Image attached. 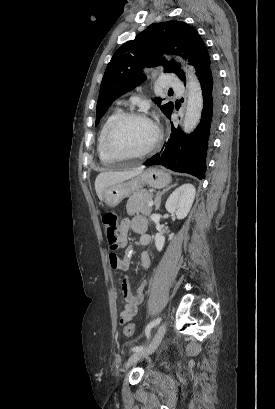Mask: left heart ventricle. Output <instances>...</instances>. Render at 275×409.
Masks as SVG:
<instances>
[{
  "instance_id": "b2bd125f",
  "label": "left heart ventricle",
  "mask_w": 275,
  "mask_h": 409,
  "mask_svg": "<svg viewBox=\"0 0 275 409\" xmlns=\"http://www.w3.org/2000/svg\"><path fill=\"white\" fill-rule=\"evenodd\" d=\"M153 136L152 127L142 120H129L115 131L110 144V152L120 155L145 147Z\"/></svg>"
}]
</instances>
